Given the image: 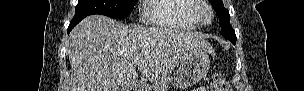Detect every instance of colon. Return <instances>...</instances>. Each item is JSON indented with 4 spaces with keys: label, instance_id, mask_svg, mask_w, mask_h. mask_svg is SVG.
<instances>
[{
    "label": "colon",
    "instance_id": "colon-1",
    "mask_svg": "<svg viewBox=\"0 0 304 91\" xmlns=\"http://www.w3.org/2000/svg\"><path fill=\"white\" fill-rule=\"evenodd\" d=\"M212 91H229L231 90L228 82L222 75H214L210 86Z\"/></svg>",
    "mask_w": 304,
    "mask_h": 91
}]
</instances>
